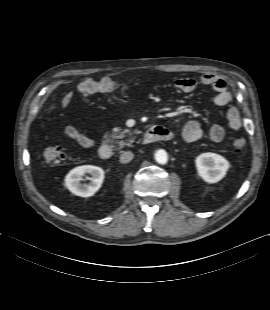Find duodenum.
I'll return each mask as SVG.
<instances>
[{"instance_id": "1", "label": "duodenum", "mask_w": 270, "mask_h": 310, "mask_svg": "<svg viewBox=\"0 0 270 310\" xmlns=\"http://www.w3.org/2000/svg\"><path fill=\"white\" fill-rule=\"evenodd\" d=\"M173 132L162 126H153L147 129L144 142L153 143L170 140ZM98 156L102 160H108L113 156V149L109 144H102L98 149Z\"/></svg>"}]
</instances>
